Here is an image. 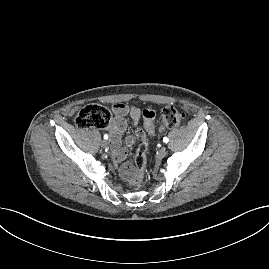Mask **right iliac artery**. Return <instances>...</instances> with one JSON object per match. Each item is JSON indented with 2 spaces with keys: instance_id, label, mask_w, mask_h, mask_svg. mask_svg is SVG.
Masks as SVG:
<instances>
[{
  "instance_id": "right-iliac-artery-1",
  "label": "right iliac artery",
  "mask_w": 269,
  "mask_h": 269,
  "mask_svg": "<svg viewBox=\"0 0 269 269\" xmlns=\"http://www.w3.org/2000/svg\"><path fill=\"white\" fill-rule=\"evenodd\" d=\"M104 139H105V140L108 139V135H107V134L104 135Z\"/></svg>"
}]
</instances>
